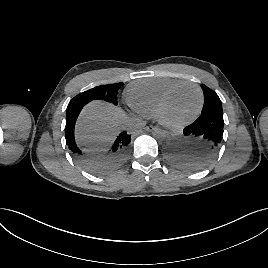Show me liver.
Returning <instances> with one entry per match:
<instances>
[{
  "mask_svg": "<svg viewBox=\"0 0 268 268\" xmlns=\"http://www.w3.org/2000/svg\"><path fill=\"white\" fill-rule=\"evenodd\" d=\"M125 113L121 108L94 101L85 106L76 127L77 140L83 145L110 142L125 128Z\"/></svg>",
  "mask_w": 268,
  "mask_h": 268,
  "instance_id": "1",
  "label": "liver"
}]
</instances>
